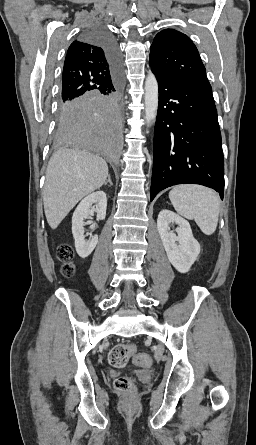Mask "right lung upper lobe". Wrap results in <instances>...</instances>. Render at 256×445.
<instances>
[{"mask_svg":"<svg viewBox=\"0 0 256 445\" xmlns=\"http://www.w3.org/2000/svg\"><path fill=\"white\" fill-rule=\"evenodd\" d=\"M116 79L105 51L82 35L69 47L60 100H70L112 87Z\"/></svg>","mask_w":256,"mask_h":445,"instance_id":"obj_1","label":"right lung upper lobe"}]
</instances>
